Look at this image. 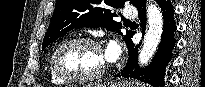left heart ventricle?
Wrapping results in <instances>:
<instances>
[{
    "mask_svg": "<svg viewBox=\"0 0 205 87\" xmlns=\"http://www.w3.org/2000/svg\"><path fill=\"white\" fill-rule=\"evenodd\" d=\"M104 61V54L85 43L65 47L58 57L61 70L74 75H88L97 72Z\"/></svg>",
    "mask_w": 205,
    "mask_h": 87,
    "instance_id": "1",
    "label": "left heart ventricle"
}]
</instances>
